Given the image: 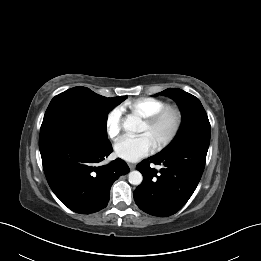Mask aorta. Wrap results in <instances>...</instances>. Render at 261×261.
Returning <instances> with one entry per match:
<instances>
[{"label":"aorta","instance_id":"1","mask_svg":"<svg viewBox=\"0 0 261 261\" xmlns=\"http://www.w3.org/2000/svg\"><path fill=\"white\" fill-rule=\"evenodd\" d=\"M123 128L125 131L130 132H142V120L134 115H128L123 121ZM130 184L140 185L143 180V176L139 171H131L128 175Z\"/></svg>","mask_w":261,"mask_h":261}]
</instances>
